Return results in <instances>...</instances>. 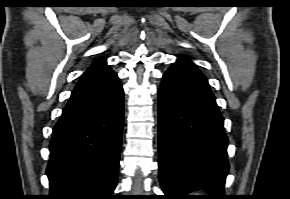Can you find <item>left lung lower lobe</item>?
I'll return each mask as SVG.
<instances>
[{
  "label": "left lung lower lobe",
  "mask_w": 290,
  "mask_h": 199,
  "mask_svg": "<svg viewBox=\"0 0 290 199\" xmlns=\"http://www.w3.org/2000/svg\"><path fill=\"white\" fill-rule=\"evenodd\" d=\"M206 77L186 56L165 72L158 92L159 177L170 199L202 189L224 196L228 139Z\"/></svg>",
  "instance_id": "left-lung-lower-lobe-1"
}]
</instances>
